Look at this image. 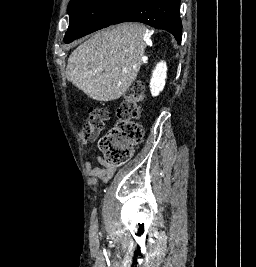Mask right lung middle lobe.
Returning <instances> with one entry per match:
<instances>
[{"label": "right lung middle lobe", "mask_w": 256, "mask_h": 267, "mask_svg": "<svg viewBox=\"0 0 256 267\" xmlns=\"http://www.w3.org/2000/svg\"><path fill=\"white\" fill-rule=\"evenodd\" d=\"M138 0H71L70 23L64 37L70 43L94 31L108 27L126 13Z\"/></svg>", "instance_id": "right-lung-middle-lobe-1"}]
</instances>
